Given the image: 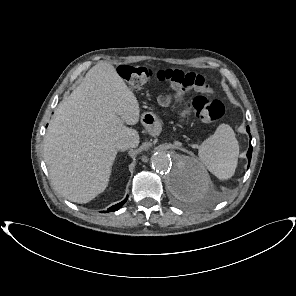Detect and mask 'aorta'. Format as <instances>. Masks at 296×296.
Here are the masks:
<instances>
[{
    "label": "aorta",
    "mask_w": 296,
    "mask_h": 296,
    "mask_svg": "<svg viewBox=\"0 0 296 296\" xmlns=\"http://www.w3.org/2000/svg\"><path fill=\"white\" fill-rule=\"evenodd\" d=\"M153 169L161 174L170 197L181 203L204 199L209 192V181L194 158L158 151L151 158Z\"/></svg>",
    "instance_id": "1"
}]
</instances>
